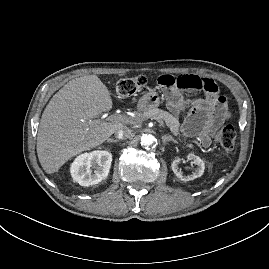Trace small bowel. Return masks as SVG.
Wrapping results in <instances>:
<instances>
[{"instance_id": "obj_1", "label": "small bowel", "mask_w": 269, "mask_h": 269, "mask_svg": "<svg viewBox=\"0 0 269 269\" xmlns=\"http://www.w3.org/2000/svg\"><path fill=\"white\" fill-rule=\"evenodd\" d=\"M155 81L159 87L166 90L178 88L204 90L206 93L204 99L191 101L192 109L184 120L183 130L188 135L197 136L202 147H208L213 131L229 117L226 99L218 93L215 79L211 76L201 78L196 75L161 74ZM182 104V96L177 91H172L169 95L171 110L178 112Z\"/></svg>"}]
</instances>
